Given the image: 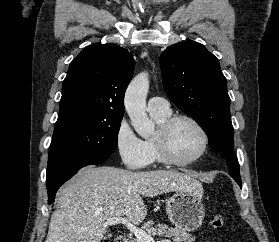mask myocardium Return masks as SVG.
<instances>
[{
    "label": "myocardium",
    "mask_w": 279,
    "mask_h": 242,
    "mask_svg": "<svg viewBox=\"0 0 279 242\" xmlns=\"http://www.w3.org/2000/svg\"><path fill=\"white\" fill-rule=\"evenodd\" d=\"M179 121H187L191 123L201 135L202 144L200 150L196 155L187 160L177 159L173 156L169 148L170 131L172 127ZM153 141L156 145L159 156L164 163L172 166L182 167L195 163L206 153L209 145V136L203 125L197 119L189 115L178 114L170 116L159 125Z\"/></svg>",
    "instance_id": "myocardium-1"
}]
</instances>
